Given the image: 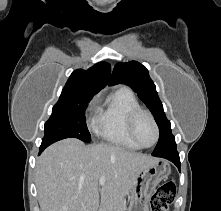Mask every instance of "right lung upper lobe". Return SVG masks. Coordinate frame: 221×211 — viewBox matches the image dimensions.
Masks as SVG:
<instances>
[{
    "label": "right lung upper lobe",
    "instance_id": "right-lung-upper-lobe-1",
    "mask_svg": "<svg viewBox=\"0 0 221 211\" xmlns=\"http://www.w3.org/2000/svg\"><path fill=\"white\" fill-rule=\"evenodd\" d=\"M110 72L111 66L107 62H99L88 70H75L63 88L59 100L95 95L111 83Z\"/></svg>",
    "mask_w": 221,
    "mask_h": 211
}]
</instances>
